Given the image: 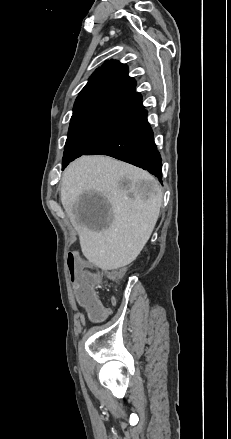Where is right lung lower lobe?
I'll return each instance as SVG.
<instances>
[{
    "label": "right lung lower lobe",
    "instance_id": "98d812e1",
    "mask_svg": "<svg viewBox=\"0 0 231 439\" xmlns=\"http://www.w3.org/2000/svg\"><path fill=\"white\" fill-rule=\"evenodd\" d=\"M83 155H108L162 179L161 156L144 108L119 123Z\"/></svg>",
    "mask_w": 231,
    "mask_h": 439
}]
</instances>
